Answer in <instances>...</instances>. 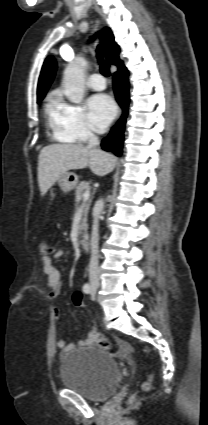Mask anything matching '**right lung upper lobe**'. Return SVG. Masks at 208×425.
I'll return each instance as SVG.
<instances>
[{"label": "right lung upper lobe", "instance_id": "obj_1", "mask_svg": "<svg viewBox=\"0 0 208 425\" xmlns=\"http://www.w3.org/2000/svg\"><path fill=\"white\" fill-rule=\"evenodd\" d=\"M105 47L106 57L109 63L118 68L123 67V62L119 58L120 49L114 41V36L110 28H104L98 33ZM56 71V61L52 56L46 58L38 81L37 99L42 100L53 81Z\"/></svg>", "mask_w": 208, "mask_h": 425}]
</instances>
